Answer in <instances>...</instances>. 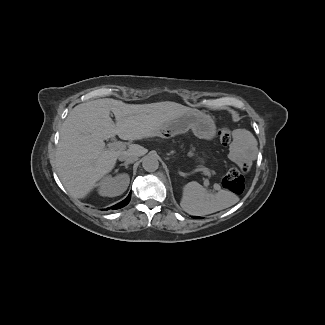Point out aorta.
<instances>
[{
  "instance_id": "762f6f07",
  "label": "aorta",
  "mask_w": 325,
  "mask_h": 325,
  "mask_svg": "<svg viewBox=\"0 0 325 325\" xmlns=\"http://www.w3.org/2000/svg\"><path fill=\"white\" fill-rule=\"evenodd\" d=\"M142 166L147 172L156 171L159 167V161L157 156L152 154L146 155L145 157H143Z\"/></svg>"
}]
</instances>
